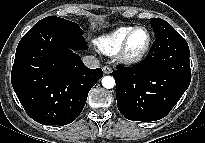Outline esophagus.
<instances>
[{"instance_id": "34e87169", "label": "esophagus", "mask_w": 205, "mask_h": 143, "mask_svg": "<svg viewBox=\"0 0 205 143\" xmlns=\"http://www.w3.org/2000/svg\"><path fill=\"white\" fill-rule=\"evenodd\" d=\"M102 70H103L104 74L112 73V69L109 66H103Z\"/></svg>"}]
</instances>
